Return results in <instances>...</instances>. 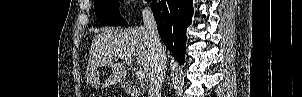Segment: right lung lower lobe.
I'll list each match as a JSON object with an SVG mask.
<instances>
[{"mask_svg":"<svg viewBox=\"0 0 302 97\" xmlns=\"http://www.w3.org/2000/svg\"><path fill=\"white\" fill-rule=\"evenodd\" d=\"M151 9L161 39L177 61H185L186 28L193 14L192 0H152Z\"/></svg>","mask_w":302,"mask_h":97,"instance_id":"98d812e1","label":"right lung lower lobe"}]
</instances>
